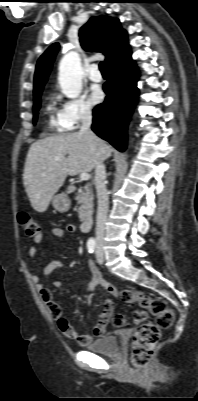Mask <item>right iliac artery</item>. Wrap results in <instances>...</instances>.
Returning <instances> with one entry per match:
<instances>
[{
  "instance_id": "82829eb1",
  "label": "right iliac artery",
  "mask_w": 198,
  "mask_h": 401,
  "mask_svg": "<svg viewBox=\"0 0 198 401\" xmlns=\"http://www.w3.org/2000/svg\"><path fill=\"white\" fill-rule=\"evenodd\" d=\"M96 247V241L94 239H89L87 241V248L90 253H93Z\"/></svg>"
}]
</instances>
